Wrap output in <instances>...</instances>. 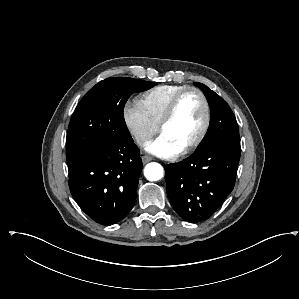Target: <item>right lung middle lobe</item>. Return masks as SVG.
Instances as JSON below:
<instances>
[{"instance_id": "right-lung-middle-lobe-1", "label": "right lung middle lobe", "mask_w": 299, "mask_h": 299, "mask_svg": "<svg viewBox=\"0 0 299 299\" xmlns=\"http://www.w3.org/2000/svg\"><path fill=\"white\" fill-rule=\"evenodd\" d=\"M152 87V82L114 77L90 89L77 106L68 127V166L97 149L130 140L123 116L124 105L133 92Z\"/></svg>"}]
</instances>
